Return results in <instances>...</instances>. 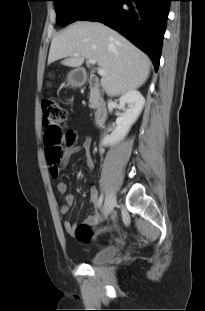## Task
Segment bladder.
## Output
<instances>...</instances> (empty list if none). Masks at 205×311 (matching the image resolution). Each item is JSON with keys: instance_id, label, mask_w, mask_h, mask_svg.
Returning <instances> with one entry per match:
<instances>
[{"instance_id": "31cf9c89", "label": "bladder", "mask_w": 205, "mask_h": 311, "mask_svg": "<svg viewBox=\"0 0 205 311\" xmlns=\"http://www.w3.org/2000/svg\"><path fill=\"white\" fill-rule=\"evenodd\" d=\"M118 253L119 247L117 245H109L91 252L86 259L92 265H102L115 260Z\"/></svg>"}]
</instances>
